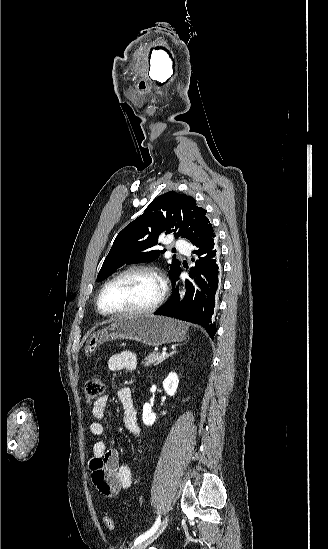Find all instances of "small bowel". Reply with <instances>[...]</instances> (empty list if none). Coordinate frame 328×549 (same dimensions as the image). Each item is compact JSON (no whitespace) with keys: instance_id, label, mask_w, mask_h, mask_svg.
<instances>
[{"instance_id":"obj_1","label":"small bowel","mask_w":328,"mask_h":549,"mask_svg":"<svg viewBox=\"0 0 328 549\" xmlns=\"http://www.w3.org/2000/svg\"><path fill=\"white\" fill-rule=\"evenodd\" d=\"M107 365L112 372L133 371L137 368V356L131 351L118 352L109 358ZM117 397L124 409L125 428L131 434L138 436L140 426L131 390L125 386L120 387ZM108 402V396L103 395L95 401L92 407V415L96 421L91 422L89 431L97 439L92 448L89 468L92 481L98 491L108 498H113L120 491L131 487L133 473L128 465L120 463L118 450L107 448L102 439L105 428L100 420L106 416Z\"/></svg>"}]
</instances>
